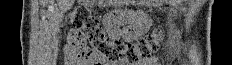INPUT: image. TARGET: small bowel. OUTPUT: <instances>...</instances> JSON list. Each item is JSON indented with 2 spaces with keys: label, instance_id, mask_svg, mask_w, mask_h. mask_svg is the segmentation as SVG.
Instances as JSON below:
<instances>
[{
  "label": "small bowel",
  "instance_id": "small-bowel-1",
  "mask_svg": "<svg viewBox=\"0 0 232 65\" xmlns=\"http://www.w3.org/2000/svg\"><path fill=\"white\" fill-rule=\"evenodd\" d=\"M105 15L103 24L108 31L107 37H123L122 43L127 45H134L136 37H145V34L150 31L148 12H106ZM117 21H133V23H128L126 26L125 23H117ZM79 35L78 30H71L69 33V44L66 47V58L69 62L76 60L75 41ZM134 65H159V59L157 56H150L139 60Z\"/></svg>",
  "mask_w": 232,
  "mask_h": 65
}]
</instances>
